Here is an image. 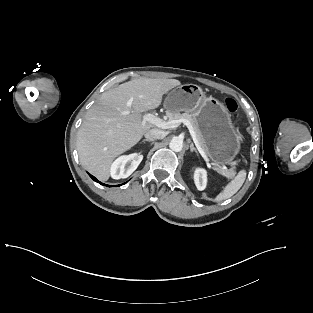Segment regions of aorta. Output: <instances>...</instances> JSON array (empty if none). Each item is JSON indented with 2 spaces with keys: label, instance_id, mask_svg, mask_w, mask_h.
<instances>
[{
  "label": "aorta",
  "instance_id": "obj_1",
  "mask_svg": "<svg viewBox=\"0 0 313 313\" xmlns=\"http://www.w3.org/2000/svg\"><path fill=\"white\" fill-rule=\"evenodd\" d=\"M169 147L171 150L175 151V152H180L183 148V140L180 139L179 137H174L170 143H169Z\"/></svg>",
  "mask_w": 313,
  "mask_h": 313
}]
</instances>
